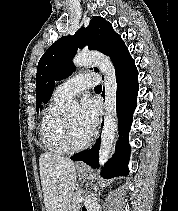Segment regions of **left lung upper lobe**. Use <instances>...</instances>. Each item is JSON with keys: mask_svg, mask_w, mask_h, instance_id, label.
<instances>
[{"mask_svg": "<svg viewBox=\"0 0 178 211\" xmlns=\"http://www.w3.org/2000/svg\"><path fill=\"white\" fill-rule=\"evenodd\" d=\"M85 45L110 57L114 66L128 52L121 37L114 32L112 25L100 16L93 17L87 28L79 29L74 36L58 39L43 54L36 75V109H39L45 89L55 81L67 78L75 71L71 64L77 49ZM95 71H98L95 68Z\"/></svg>", "mask_w": 178, "mask_h": 211, "instance_id": "left-lung-upper-lobe-1", "label": "left lung upper lobe"}]
</instances>
